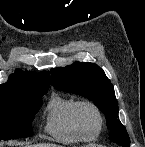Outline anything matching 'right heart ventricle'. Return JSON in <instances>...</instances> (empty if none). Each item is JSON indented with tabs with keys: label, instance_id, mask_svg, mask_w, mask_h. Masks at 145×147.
I'll return each instance as SVG.
<instances>
[{
	"label": "right heart ventricle",
	"instance_id": "right-heart-ventricle-1",
	"mask_svg": "<svg viewBox=\"0 0 145 147\" xmlns=\"http://www.w3.org/2000/svg\"><path fill=\"white\" fill-rule=\"evenodd\" d=\"M80 100L62 94H53L46 106L45 131L54 139L65 142L94 140L98 134L84 131L76 117Z\"/></svg>",
	"mask_w": 145,
	"mask_h": 147
}]
</instances>
